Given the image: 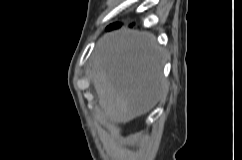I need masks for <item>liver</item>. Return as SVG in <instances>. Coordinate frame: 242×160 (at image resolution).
<instances>
[{"mask_svg":"<svg viewBox=\"0 0 242 160\" xmlns=\"http://www.w3.org/2000/svg\"><path fill=\"white\" fill-rule=\"evenodd\" d=\"M155 37L129 29L105 34L94 51L92 82L110 119L127 123L149 112L165 90Z\"/></svg>","mask_w":242,"mask_h":160,"instance_id":"obj_1","label":"liver"}]
</instances>
